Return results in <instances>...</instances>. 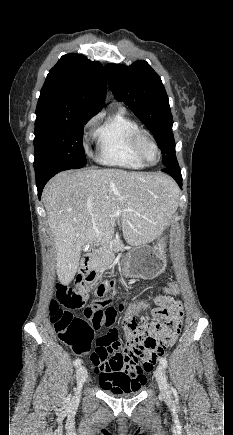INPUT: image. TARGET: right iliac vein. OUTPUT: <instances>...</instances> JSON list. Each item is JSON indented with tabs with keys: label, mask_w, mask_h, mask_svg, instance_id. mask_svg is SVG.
I'll use <instances>...</instances> for the list:
<instances>
[{
	"label": "right iliac vein",
	"mask_w": 233,
	"mask_h": 435,
	"mask_svg": "<svg viewBox=\"0 0 233 435\" xmlns=\"http://www.w3.org/2000/svg\"><path fill=\"white\" fill-rule=\"evenodd\" d=\"M76 376H77V393L79 394L87 378L86 368L84 366H79L77 368Z\"/></svg>",
	"instance_id": "1"
}]
</instances>
